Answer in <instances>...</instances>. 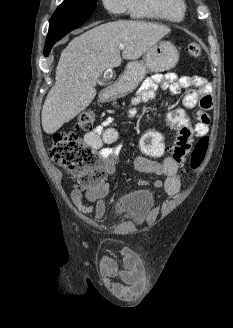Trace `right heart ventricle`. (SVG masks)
<instances>
[{
	"mask_svg": "<svg viewBox=\"0 0 233 328\" xmlns=\"http://www.w3.org/2000/svg\"><path fill=\"white\" fill-rule=\"evenodd\" d=\"M126 8L135 18L180 22L184 18V0H127Z\"/></svg>",
	"mask_w": 233,
	"mask_h": 328,
	"instance_id": "1",
	"label": "right heart ventricle"
}]
</instances>
